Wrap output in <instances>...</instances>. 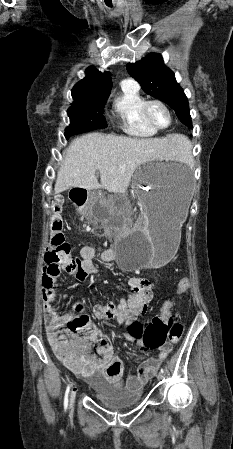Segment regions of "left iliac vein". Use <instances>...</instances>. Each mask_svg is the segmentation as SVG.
I'll list each match as a JSON object with an SVG mask.
<instances>
[{"label": "left iliac vein", "mask_w": 233, "mask_h": 449, "mask_svg": "<svg viewBox=\"0 0 233 449\" xmlns=\"http://www.w3.org/2000/svg\"><path fill=\"white\" fill-rule=\"evenodd\" d=\"M163 378V374L161 373V372H159L158 374H157V379L158 380H161Z\"/></svg>", "instance_id": "1"}]
</instances>
